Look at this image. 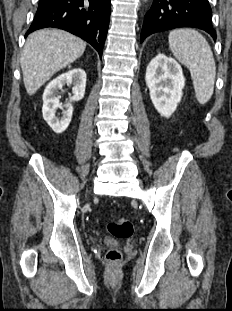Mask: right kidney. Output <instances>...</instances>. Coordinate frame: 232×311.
Returning a JSON list of instances; mask_svg holds the SVG:
<instances>
[{"label":"right kidney","mask_w":232,"mask_h":311,"mask_svg":"<svg viewBox=\"0 0 232 311\" xmlns=\"http://www.w3.org/2000/svg\"><path fill=\"white\" fill-rule=\"evenodd\" d=\"M65 84H73V95L70 97V101L64 105L65 110L62 113V117L58 118L56 116V110L61 108V105L56 95L59 90H62ZM85 87L86 73L81 68H75L59 75L46 86L43 93L42 113L44 120L55 133L61 134L69 126L73 113V106L71 103L79 101L84 97Z\"/></svg>","instance_id":"obj_1"}]
</instances>
